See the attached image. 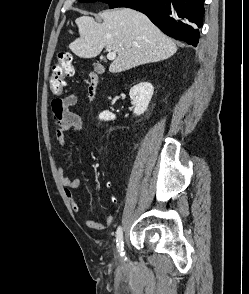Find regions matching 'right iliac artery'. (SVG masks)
Wrapping results in <instances>:
<instances>
[{
	"mask_svg": "<svg viewBox=\"0 0 249 294\" xmlns=\"http://www.w3.org/2000/svg\"><path fill=\"white\" fill-rule=\"evenodd\" d=\"M116 242H117V249L121 256H124V242H123V232L122 228L119 226L116 231Z\"/></svg>",
	"mask_w": 249,
	"mask_h": 294,
	"instance_id": "obj_1",
	"label": "right iliac artery"
}]
</instances>
